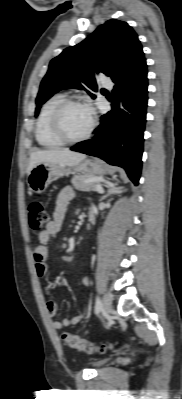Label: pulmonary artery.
<instances>
[{
  "instance_id": "pulmonary-artery-1",
  "label": "pulmonary artery",
  "mask_w": 182,
  "mask_h": 399,
  "mask_svg": "<svg viewBox=\"0 0 182 399\" xmlns=\"http://www.w3.org/2000/svg\"><path fill=\"white\" fill-rule=\"evenodd\" d=\"M102 85L108 89H111L113 87V82L110 79H105L102 82Z\"/></svg>"
}]
</instances>
